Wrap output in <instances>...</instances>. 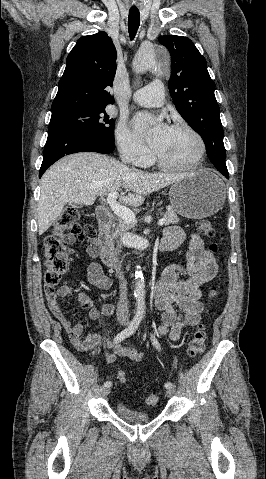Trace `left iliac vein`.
Instances as JSON below:
<instances>
[{"label": "left iliac vein", "instance_id": "left-iliac-vein-1", "mask_svg": "<svg viewBox=\"0 0 266 479\" xmlns=\"http://www.w3.org/2000/svg\"><path fill=\"white\" fill-rule=\"evenodd\" d=\"M174 394H175L174 388H168V389H167L166 395H167L168 397H172Z\"/></svg>", "mask_w": 266, "mask_h": 479}]
</instances>
